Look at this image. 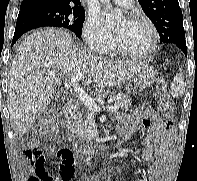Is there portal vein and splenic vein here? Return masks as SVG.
Wrapping results in <instances>:
<instances>
[{"mask_svg":"<svg viewBox=\"0 0 197 181\" xmlns=\"http://www.w3.org/2000/svg\"><path fill=\"white\" fill-rule=\"evenodd\" d=\"M56 71H51L50 75H56ZM84 79V75L79 73L75 74L71 78V85L74 88V91L77 93L81 101L86 105V107L90 110H92L95 113H98L100 111V107L97 105V103L94 101L93 98H91L79 85V81ZM119 110V106L114 105L108 107L107 111L116 113Z\"/></svg>","mask_w":197,"mask_h":181,"instance_id":"obj_1","label":"portal vein and splenic vein"}]
</instances>
